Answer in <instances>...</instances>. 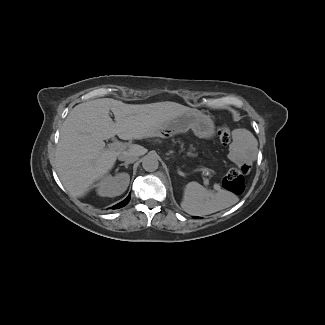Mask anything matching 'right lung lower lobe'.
Listing matches in <instances>:
<instances>
[{"label":"right lung lower lobe","instance_id":"obj_1","mask_svg":"<svg viewBox=\"0 0 325 325\" xmlns=\"http://www.w3.org/2000/svg\"><path fill=\"white\" fill-rule=\"evenodd\" d=\"M130 197H131V195L129 194L128 197L125 200H123L122 202L118 203L113 208L114 209H118V208H121V207L125 206L130 201Z\"/></svg>","mask_w":325,"mask_h":325}]
</instances>
